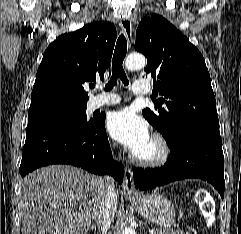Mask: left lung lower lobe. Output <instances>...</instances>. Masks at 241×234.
Segmentation results:
<instances>
[{"label":"left lung lower lobe","mask_w":241,"mask_h":234,"mask_svg":"<svg viewBox=\"0 0 241 234\" xmlns=\"http://www.w3.org/2000/svg\"><path fill=\"white\" fill-rule=\"evenodd\" d=\"M219 132L190 129L181 133L169 147L170 156L160 169L134 170V184L147 190L170 182L199 178L211 183L224 198V156Z\"/></svg>","instance_id":"0a47b994"}]
</instances>
